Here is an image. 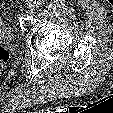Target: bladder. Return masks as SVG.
Returning <instances> with one entry per match:
<instances>
[{"instance_id":"31cf9c89","label":"bladder","mask_w":113,"mask_h":113,"mask_svg":"<svg viewBox=\"0 0 113 113\" xmlns=\"http://www.w3.org/2000/svg\"><path fill=\"white\" fill-rule=\"evenodd\" d=\"M0 40H11V31L5 23L2 12L0 11Z\"/></svg>"}]
</instances>
